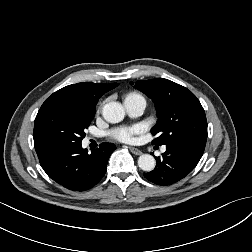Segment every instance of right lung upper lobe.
I'll return each mask as SVG.
<instances>
[{
    "instance_id": "obj_1",
    "label": "right lung upper lobe",
    "mask_w": 252,
    "mask_h": 252,
    "mask_svg": "<svg viewBox=\"0 0 252 252\" xmlns=\"http://www.w3.org/2000/svg\"><path fill=\"white\" fill-rule=\"evenodd\" d=\"M117 86L118 83L105 84L88 82L68 85L48 97L42 106L51 103H64L73 107L95 112L98 99L104 93Z\"/></svg>"
}]
</instances>
